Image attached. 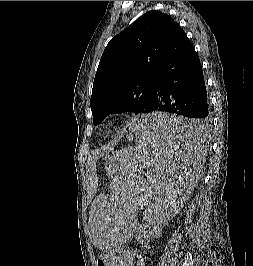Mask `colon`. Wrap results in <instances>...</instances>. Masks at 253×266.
I'll return each instance as SVG.
<instances>
[{
  "mask_svg": "<svg viewBox=\"0 0 253 266\" xmlns=\"http://www.w3.org/2000/svg\"><path fill=\"white\" fill-rule=\"evenodd\" d=\"M98 266H118L119 260L117 256L110 251H105L101 253L97 260Z\"/></svg>",
  "mask_w": 253,
  "mask_h": 266,
  "instance_id": "1",
  "label": "colon"
}]
</instances>
